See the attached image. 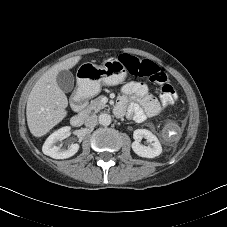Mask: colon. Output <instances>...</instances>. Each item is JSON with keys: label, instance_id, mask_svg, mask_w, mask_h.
Returning <instances> with one entry per match:
<instances>
[{"label": "colon", "instance_id": "obj_1", "mask_svg": "<svg viewBox=\"0 0 227 227\" xmlns=\"http://www.w3.org/2000/svg\"><path fill=\"white\" fill-rule=\"evenodd\" d=\"M127 71L137 77L148 78L157 82L160 87V98L167 105H173L177 101V93L174 86L169 83L166 72L152 61H138L133 57H124L122 59Z\"/></svg>", "mask_w": 227, "mask_h": 227}]
</instances>
